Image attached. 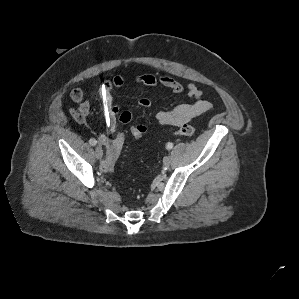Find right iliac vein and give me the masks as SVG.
Returning <instances> with one entry per match:
<instances>
[{
    "instance_id": "obj_1",
    "label": "right iliac vein",
    "mask_w": 299,
    "mask_h": 299,
    "mask_svg": "<svg viewBox=\"0 0 299 299\" xmlns=\"http://www.w3.org/2000/svg\"><path fill=\"white\" fill-rule=\"evenodd\" d=\"M95 155H96V158H97V159H101V158H102V156H103V151H102V149H101L100 146H97V147L95 148Z\"/></svg>"
}]
</instances>
